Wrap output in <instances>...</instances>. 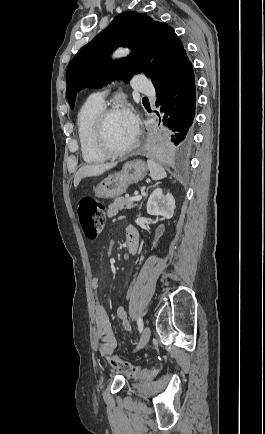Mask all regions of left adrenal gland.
Wrapping results in <instances>:
<instances>
[{
	"label": "left adrenal gland",
	"instance_id": "a2214340",
	"mask_svg": "<svg viewBox=\"0 0 265 434\" xmlns=\"http://www.w3.org/2000/svg\"><path fill=\"white\" fill-rule=\"evenodd\" d=\"M158 184H160V182H157V184H154V186H149V188H156V186H158ZM149 188H147V190H146V196H144V200H145V198H147ZM142 204H143V202H141V204L139 206V210H141Z\"/></svg>",
	"mask_w": 265,
	"mask_h": 434
}]
</instances>
